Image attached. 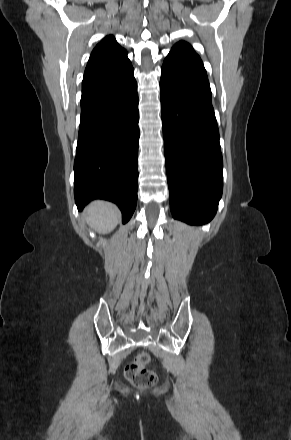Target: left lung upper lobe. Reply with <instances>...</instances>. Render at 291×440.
<instances>
[{
  "label": "left lung upper lobe",
  "mask_w": 291,
  "mask_h": 440,
  "mask_svg": "<svg viewBox=\"0 0 291 440\" xmlns=\"http://www.w3.org/2000/svg\"><path fill=\"white\" fill-rule=\"evenodd\" d=\"M170 53L179 54V55H186V56H194V57L199 58V56L195 53V51L193 50L191 45L188 44L187 42H184V41H180L177 44H175L172 47V50Z\"/></svg>",
  "instance_id": "5c2ea615"
}]
</instances>
